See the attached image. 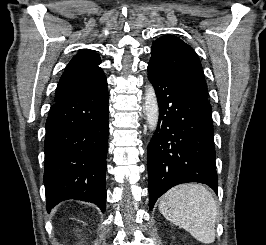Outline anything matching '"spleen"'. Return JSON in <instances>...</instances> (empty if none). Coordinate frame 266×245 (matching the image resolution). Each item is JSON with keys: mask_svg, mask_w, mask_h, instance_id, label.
<instances>
[{"mask_svg": "<svg viewBox=\"0 0 266 245\" xmlns=\"http://www.w3.org/2000/svg\"><path fill=\"white\" fill-rule=\"evenodd\" d=\"M159 211L173 225L182 227L196 241H215L217 205L203 185H177L160 199Z\"/></svg>", "mask_w": 266, "mask_h": 245, "instance_id": "1", "label": "spleen"}]
</instances>
